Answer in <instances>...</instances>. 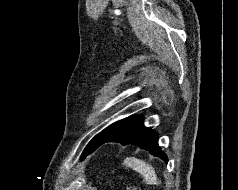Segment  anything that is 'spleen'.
Returning a JSON list of instances; mask_svg holds the SVG:
<instances>
[{
    "label": "spleen",
    "instance_id": "obj_1",
    "mask_svg": "<svg viewBox=\"0 0 238 190\" xmlns=\"http://www.w3.org/2000/svg\"><path fill=\"white\" fill-rule=\"evenodd\" d=\"M124 165L142 175L144 181L149 185H159L161 183L157 178L154 168L140 159L127 157L124 160Z\"/></svg>",
    "mask_w": 238,
    "mask_h": 190
}]
</instances>
